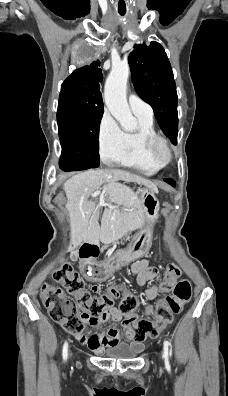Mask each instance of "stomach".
<instances>
[{
  "mask_svg": "<svg viewBox=\"0 0 228 396\" xmlns=\"http://www.w3.org/2000/svg\"><path fill=\"white\" fill-rule=\"evenodd\" d=\"M153 188L144 186L139 189L141 208L144 213V224L140 230L131 238L125 253L129 260L143 257L149 251L152 241V227L159 218L160 203Z\"/></svg>",
  "mask_w": 228,
  "mask_h": 396,
  "instance_id": "1",
  "label": "stomach"
}]
</instances>
